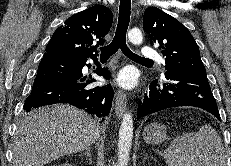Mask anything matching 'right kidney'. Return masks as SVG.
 <instances>
[{
  "instance_id": "obj_1",
  "label": "right kidney",
  "mask_w": 231,
  "mask_h": 166,
  "mask_svg": "<svg viewBox=\"0 0 231 166\" xmlns=\"http://www.w3.org/2000/svg\"><path fill=\"white\" fill-rule=\"evenodd\" d=\"M59 166H75V165L69 164V163H63V164H61V165H59Z\"/></svg>"
}]
</instances>
